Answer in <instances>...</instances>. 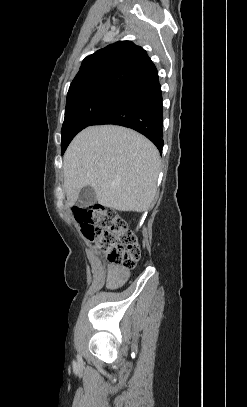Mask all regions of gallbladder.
Here are the masks:
<instances>
[{"label": "gallbladder", "mask_w": 247, "mask_h": 407, "mask_svg": "<svg viewBox=\"0 0 247 407\" xmlns=\"http://www.w3.org/2000/svg\"><path fill=\"white\" fill-rule=\"evenodd\" d=\"M97 200V195L95 190L91 186H86L81 189L79 193L78 206L80 208H86L89 205L95 203Z\"/></svg>", "instance_id": "gallbladder-1"}]
</instances>
